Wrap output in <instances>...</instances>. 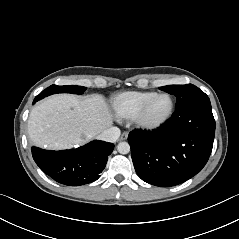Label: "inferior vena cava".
Segmentation results:
<instances>
[{
	"instance_id": "inferior-vena-cava-1",
	"label": "inferior vena cava",
	"mask_w": 239,
	"mask_h": 239,
	"mask_svg": "<svg viewBox=\"0 0 239 239\" xmlns=\"http://www.w3.org/2000/svg\"><path fill=\"white\" fill-rule=\"evenodd\" d=\"M121 132L120 129L117 127H110L104 131H102L97 137L98 139L102 140V141H106V142H115L119 136H120Z\"/></svg>"
}]
</instances>
